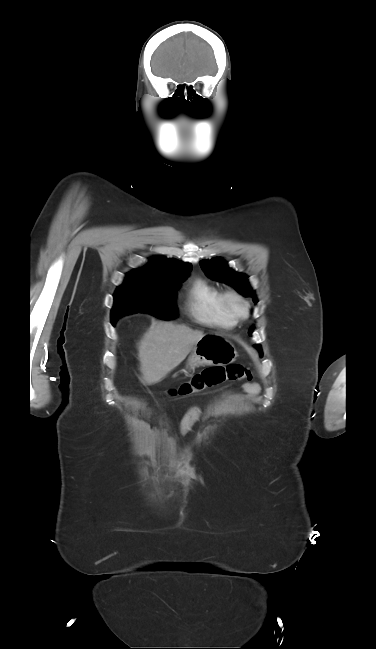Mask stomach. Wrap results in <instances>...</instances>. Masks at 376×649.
I'll return each instance as SVG.
<instances>
[{"instance_id":"obj_1","label":"stomach","mask_w":376,"mask_h":649,"mask_svg":"<svg viewBox=\"0 0 376 649\" xmlns=\"http://www.w3.org/2000/svg\"><path fill=\"white\" fill-rule=\"evenodd\" d=\"M235 346L219 335H204L192 348L186 368L194 370L205 365L226 366L236 360Z\"/></svg>"}]
</instances>
